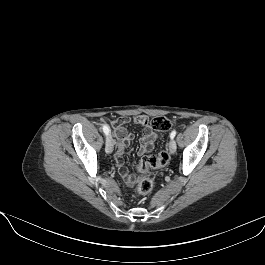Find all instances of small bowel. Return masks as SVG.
Here are the masks:
<instances>
[{"label": "small bowel", "instance_id": "obj_1", "mask_svg": "<svg viewBox=\"0 0 265 265\" xmlns=\"http://www.w3.org/2000/svg\"><path fill=\"white\" fill-rule=\"evenodd\" d=\"M131 121L144 126L143 133L139 139V155H144L150 152L154 148V144L157 140V134L147 126V118L143 115L137 116L133 120L129 117H121L112 122L114 135L118 140L115 162L120 176L127 184H131L133 181V177L130 175L123 161L124 153L134 138L133 134L126 129V124Z\"/></svg>", "mask_w": 265, "mask_h": 265}]
</instances>
